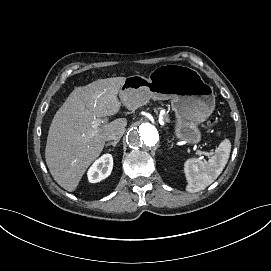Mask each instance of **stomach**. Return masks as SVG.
<instances>
[{
	"instance_id": "1",
	"label": "stomach",
	"mask_w": 271,
	"mask_h": 271,
	"mask_svg": "<svg viewBox=\"0 0 271 271\" xmlns=\"http://www.w3.org/2000/svg\"><path fill=\"white\" fill-rule=\"evenodd\" d=\"M121 102L129 109L146 104L150 98L171 99L176 115V134L188 144L198 143V125L215 109L213 87L205 83L194 69L182 65H164L154 69L148 78L133 75L119 89Z\"/></svg>"
}]
</instances>
